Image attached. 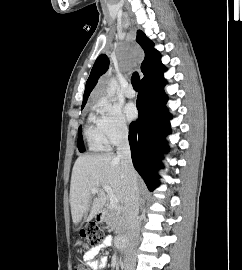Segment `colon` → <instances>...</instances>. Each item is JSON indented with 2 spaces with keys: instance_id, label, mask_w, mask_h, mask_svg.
Instances as JSON below:
<instances>
[{
  "instance_id": "1",
  "label": "colon",
  "mask_w": 242,
  "mask_h": 270,
  "mask_svg": "<svg viewBox=\"0 0 242 270\" xmlns=\"http://www.w3.org/2000/svg\"><path fill=\"white\" fill-rule=\"evenodd\" d=\"M107 228L98 224H92L85 227L80 234L78 246L81 248H87L99 244L102 241L103 235ZM76 270H89V267L84 265H78Z\"/></svg>"
}]
</instances>
